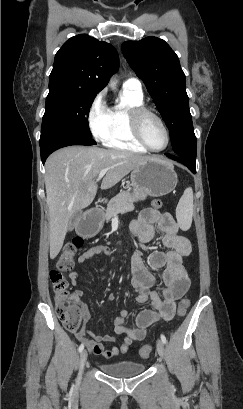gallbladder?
<instances>
[{
    "label": "gallbladder",
    "instance_id": "1",
    "mask_svg": "<svg viewBox=\"0 0 243 409\" xmlns=\"http://www.w3.org/2000/svg\"><path fill=\"white\" fill-rule=\"evenodd\" d=\"M81 214H82V212H81V211H78V212L70 219V221H69V226H68V229H69L70 231H72V230L76 227V224H77L78 219L80 218Z\"/></svg>",
    "mask_w": 243,
    "mask_h": 409
}]
</instances>
